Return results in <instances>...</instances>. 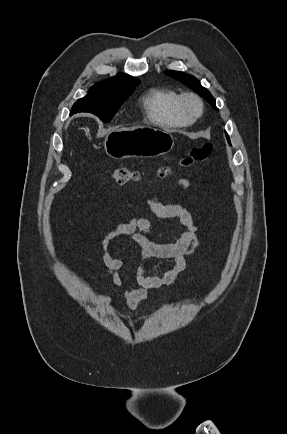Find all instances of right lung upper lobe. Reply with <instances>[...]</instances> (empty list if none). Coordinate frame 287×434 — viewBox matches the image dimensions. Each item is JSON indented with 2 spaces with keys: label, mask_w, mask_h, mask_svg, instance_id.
Instances as JSON below:
<instances>
[{
  "label": "right lung upper lobe",
  "mask_w": 287,
  "mask_h": 434,
  "mask_svg": "<svg viewBox=\"0 0 287 434\" xmlns=\"http://www.w3.org/2000/svg\"><path fill=\"white\" fill-rule=\"evenodd\" d=\"M103 82L112 83V84H127V83L139 82V80L136 78H133L127 74L120 73V74L114 76L113 78H111L109 80H105Z\"/></svg>",
  "instance_id": "right-lung-upper-lobe-1"
}]
</instances>
